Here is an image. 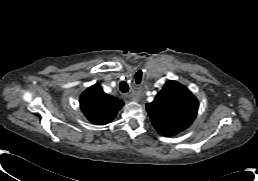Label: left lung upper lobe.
<instances>
[{
	"mask_svg": "<svg viewBox=\"0 0 258 181\" xmlns=\"http://www.w3.org/2000/svg\"><path fill=\"white\" fill-rule=\"evenodd\" d=\"M154 128L163 136H173L188 128L198 111V101L182 84L168 81L146 105Z\"/></svg>",
	"mask_w": 258,
	"mask_h": 181,
	"instance_id": "obj_1",
	"label": "left lung upper lobe"
}]
</instances>
